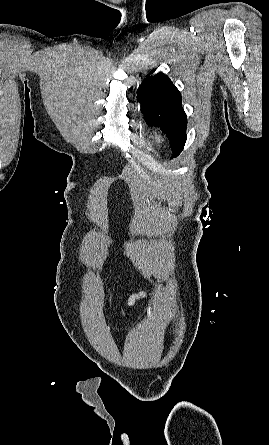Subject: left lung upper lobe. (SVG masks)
Returning a JSON list of instances; mask_svg holds the SVG:
<instances>
[{
	"mask_svg": "<svg viewBox=\"0 0 269 445\" xmlns=\"http://www.w3.org/2000/svg\"><path fill=\"white\" fill-rule=\"evenodd\" d=\"M141 112L149 125L160 127L170 140L172 157H177L186 142L187 115L181 94L162 72L146 78L137 90Z\"/></svg>",
	"mask_w": 269,
	"mask_h": 445,
	"instance_id": "left-lung-upper-lobe-1",
	"label": "left lung upper lobe"
}]
</instances>
